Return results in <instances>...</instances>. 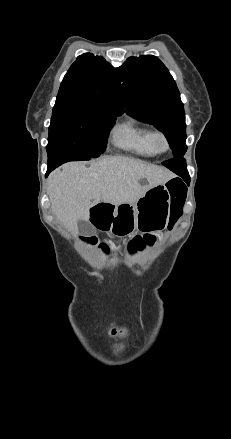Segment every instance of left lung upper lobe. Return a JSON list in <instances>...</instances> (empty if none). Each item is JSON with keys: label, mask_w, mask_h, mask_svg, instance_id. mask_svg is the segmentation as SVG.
<instances>
[{"label": "left lung upper lobe", "mask_w": 231, "mask_h": 439, "mask_svg": "<svg viewBox=\"0 0 231 439\" xmlns=\"http://www.w3.org/2000/svg\"><path fill=\"white\" fill-rule=\"evenodd\" d=\"M116 70L127 113L162 131L175 158H183L187 149L184 107L168 69L157 57L142 55L129 57Z\"/></svg>", "instance_id": "obj_1"}]
</instances>
